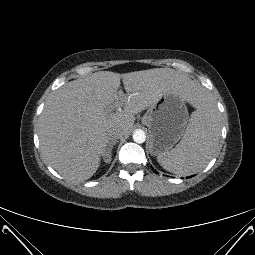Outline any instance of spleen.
<instances>
[{
	"mask_svg": "<svg viewBox=\"0 0 255 255\" xmlns=\"http://www.w3.org/2000/svg\"><path fill=\"white\" fill-rule=\"evenodd\" d=\"M221 133L220 114L207 94L192 112L181 141L174 149L157 156L158 163L177 175H190L204 169L212 159Z\"/></svg>",
	"mask_w": 255,
	"mask_h": 255,
	"instance_id": "obj_1",
	"label": "spleen"
}]
</instances>
